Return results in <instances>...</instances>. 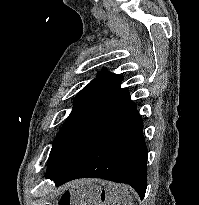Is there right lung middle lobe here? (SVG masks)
Listing matches in <instances>:
<instances>
[{
	"label": "right lung middle lobe",
	"mask_w": 199,
	"mask_h": 205,
	"mask_svg": "<svg viewBox=\"0 0 199 205\" xmlns=\"http://www.w3.org/2000/svg\"><path fill=\"white\" fill-rule=\"evenodd\" d=\"M123 123L122 119L94 111H72L54 139L45 176L60 172L85 151L101 143Z\"/></svg>",
	"instance_id": "right-lung-middle-lobe-1"
}]
</instances>
